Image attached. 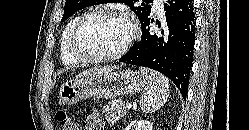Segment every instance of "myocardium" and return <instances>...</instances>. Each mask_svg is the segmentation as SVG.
I'll return each instance as SVG.
<instances>
[{"label": "myocardium", "mask_w": 249, "mask_h": 130, "mask_svg": "<svg viewBox=\"0 0 249 130\" xmlns=\"http://www.w3.org/2000/svg\"><path fill=\"white\" fill-rule=\"evenodd\" d=\"M97 16L121 17L129 23L130 35L128 39L125 41V43L122 45V47L118 49L117 51L110 53V54H106V55H95V54L85 53L80 49L78 41H79V35H80V32L83 26L90 19L97 17ZM137 35H138V30H137V27L134 21L125 12L120 11V10H115V9H95V10H91L83 14L79 18L77 23L75 24L73 31L71 33L70 41H69V50H70V53L79 61H84V62L112 61V60L121 58L128 52V50L130 49V47L136 40Z\"/></svg>", "instance_id": "myocardium-1"}]
</instances>
